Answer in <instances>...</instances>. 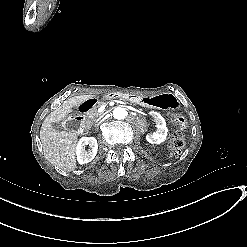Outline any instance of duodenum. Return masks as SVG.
Wrapping results in <instances>:
<instances>
[{"mask_svg": "<svg viewBox=\"0 0 247 247\" xmlns=\"http://www.w3.org/2000/svg\"><path fill=\"white\" fill-rule=\"evenodd\" d=\"M107 97L113 99L125 100L129 102H134L136 100V97L131 94L113 93V94H109ZM97 103L98 101L96 98H89L84 100L82 103H80V105L76 108V112L73 115L72 119L70 120L69 125L72 128H75L78 132H84L86 129V124H85L86 114L89 113L91 110H93L96 107Z\"/></svg>", "mask_w": 247, "mask_h": 247, "instance_id": "duodenum-1", "label": "duodenum"}]
</instances>
